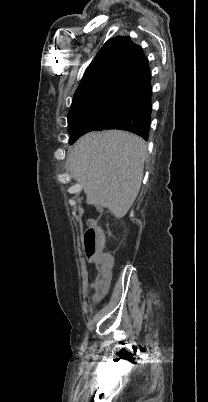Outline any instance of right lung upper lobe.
I'll list each match as a JSON object with an SVG mask.
<instances>
[{"label":"right lung upper lobe","instance_id":"right-lung-upper-lobe-1","mask_svg":"<svg viewBox=\"0 0 208 402\" xmlns=\"http://www.w3.org/2000/svg\"><path fill=\"white\" fill-rule=\"evenodd\" d=\"M140 50L126 36L108 40L86 69L74 97L101 84L110 85Z\"/></svg>","mask_w":208,"mask_h":402}]
</instances>
